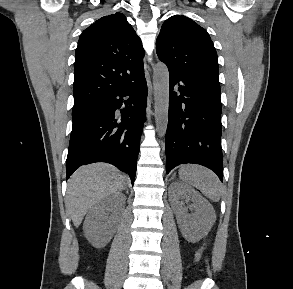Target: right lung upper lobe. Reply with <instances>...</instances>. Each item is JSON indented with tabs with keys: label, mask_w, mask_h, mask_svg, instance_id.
<instances>
[{
	"label": "right lung upper lobe",
	"mask_w": 293,
	"mask_h": 289,
	"mask_svg": "<svg viewBox=\"0 0 293 289\" xmlns=\"http://www.w3.org/2000/svg\"><path fill=\"white\" fill-rule=\"evenodd\" d=\"M144 49L122 13L104 16L80 35L75 54L74 106L89 105L144 75Z\"/></svg>",
	"instance_id": "cb5924a9"
}]
</instances>
